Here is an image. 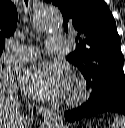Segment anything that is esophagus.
Listing matches in <instances>:
<instances>
[{
    "mask_svg": "<svg viewBox=\"0 0 125 128\" xmlns=\"http://www.w3.org/2000/svg\"><path fill=\"white\" fill-rule=\"evenodd\" d=\"M37 108H38V112L44 117H46L50 114V110L46 107L38 106Z\"/></svg>",
    "mask_w": 125,
    "mask_h": 128,
    "instance_id": "1",
    "label": "esophagus"
}]
</instances>
